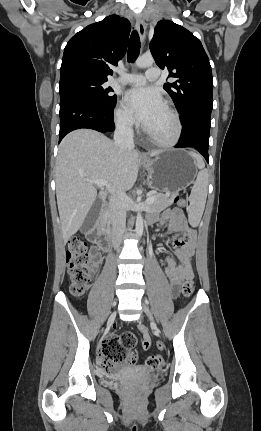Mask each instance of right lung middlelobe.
I'll use <instances>...</instances> for the list:
<instances>
[{
	"mask_svg": "<svg viewBox=\"0 0 261 431\" xmlns=\"http://www.w3.org/2000/svg\"><path fill=\"white\" fill-rule=\"evenodd\" d=\"M107 79L90 73L74 71L60 75V94L74 93L86 96L101 106H109L116 101V95H111V87L103 86Z\"/></svg>",
	"mask_w": 261,
	"mask_h": 431,
	"instance_id": "obj_1",
	"label": "right lung middle lobe"
}]
</instances>
